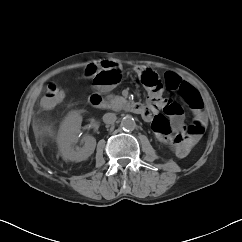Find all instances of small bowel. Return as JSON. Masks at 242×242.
Returning <instances> with one entry per match:
<instances>
[{"instance_id":"obj_1","label":"small bowel","mask_w":242,"mask_h":242,"mask_svg":"<svg viewBox=\"0 0 242 242\" xmlns=\"http://www.w3.org/2000/svg\"><path fill=\"white\" fill-rule=\"evenodd\" d=\"M101 65L106 68H115L121 71V66L115 62L103 61ZM136 71L139 73L140 78H142V76L147 72H153L152 70L141 66L137 67ZM168 75H173L180 79V81L185 82L174 72H168L166 77ZM97 87L102 90H110L112 88V86ZM159 105H162L164 111L163 115L168 119L170 126V133L165 137V142L173 146L179 155H187L197 144L206 126V116L202 111V108L196 109L194 111L193 121L190 124H186L182 108L172 101L163 102L160 98V92L158 91L150 95L149 105L145 106V113L142 117L145 120L153 119ZM199 129L202 131L199 132Z\"/></svg>"}]
</instances>
